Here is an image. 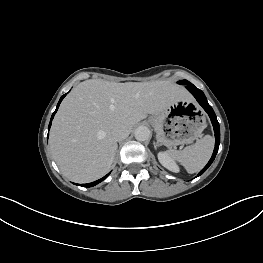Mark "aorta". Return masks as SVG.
<instances>
[{
    "label": "aorta",
    "mask_w": 263,
    "mask_h": 263,
    "mask_svg": "<svg viewBox=\"0 0 263 263\" xmlns=\"http://www.w3.org/2000/svg\"><path fill=\"white\" fill-rule=\"evenodd\" d=\"M134 136L137 141H147L151 136V131L146 126H139L135 129Z\"/></svg>",
    "instance_id": "1"
}]
</instances>
